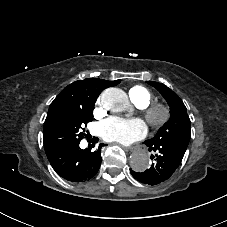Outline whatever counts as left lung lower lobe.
Returning <instances> with one entry per match:
<instances>
[{"mask_svg": "<svg viewBox=\"0 0 227 227\" xmlns=\"http://www.w3.org/2000/svg\"><path fill=\"white\" fill-rule=\"evenodd\" d=\"M144 143L148 146L149 151L156 152V155L151 157V159L156 157L155 162L142 173L134 172L131 169L130 172L142 183L157 185L167 180L174 173L180 165L187 147L160 141L151 142L147 140Z\"/></svg>", "mask_w": 227, "mask_h": 227, "instance_id": "left-lung-lower-lobe-1", "label": "left lung lower lobe"}]
</instances>
